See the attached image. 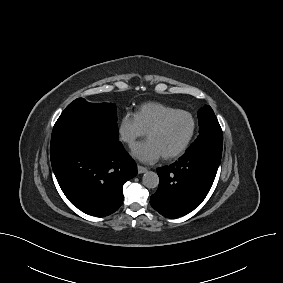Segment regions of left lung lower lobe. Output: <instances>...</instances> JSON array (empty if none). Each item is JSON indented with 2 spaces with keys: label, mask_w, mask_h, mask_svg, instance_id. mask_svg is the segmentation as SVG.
Returning <instances> with one entry per match:
<instances>
[{
  "label": "left lung lower lobe",
  "mask_w": 283,
  "mask_h": 283,
  "mask_svg": "<svg viewBox=\"0 0 283 283\" xmlns=\"http://www.w3.org/2000/svg\"><path fill=\"white\" fill-rule=\"evenodd\" d=\"M221 155L197 149L185 153L170 166L158 168V190L150 197L151 206L167 218L193 211L208 194Z\"/></svg>",
  "instance_id": "1"
}]
</instances>
